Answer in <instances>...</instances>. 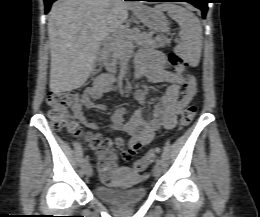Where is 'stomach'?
Returning <instances> with one entry per match:
<instances>
[{"mask_svg": "<svg viewBox=\"0 0 260 217\" xmlns=\"http://www.w3.org/2000/svg\"><path fill=\"white\" fill-rule=\"evenodd\" d=\"M134 12L140 21L149 29L160 33L168 31L169 27L167 19L159 6L148 7L145 5H140L134 10Z\"/></svg>", "mask_w": 260, "mask_h": 217, "instance_id": "1", "label": "stomach"}]
</instances>
